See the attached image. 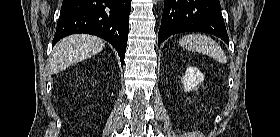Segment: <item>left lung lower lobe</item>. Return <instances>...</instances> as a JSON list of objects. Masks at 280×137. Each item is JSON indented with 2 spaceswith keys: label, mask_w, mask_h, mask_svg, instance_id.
<instances>
[{
  "label": "left lung lower lobe",
  "mask_w": 280,
  "mask_h": 137,
  "mask_svg": "<svg viewBox=\"0 0 280 137\" xmlns=\"http://www.w3.org/2000/svg\"><path fill=\"white\" fill-rule=\"evenodd\" d=\"M189 31L211 33L229 44L219 0H165L158 46L173 34Z\"/></svg>",
  "instance_id": "obj_1"
}]
</instances>
